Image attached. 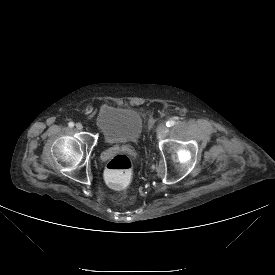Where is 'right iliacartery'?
<instances>
[{"label":"right iliac artery","instance_id":"1","mask_svg":"<svg viewBox=\"0 0 275 275\" xmlns=\"http://www.w3.org/2000/svg\"><path fill=\"white\" fill-rule=\"evenodd\" d=\"M68 126L72 128L74 126V123L73 122H69Z\"/></svg>","mask_w":275,"mask_h":275}]
</instances>
